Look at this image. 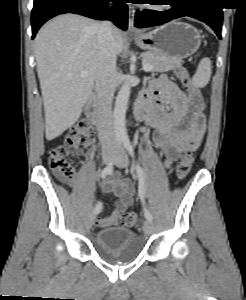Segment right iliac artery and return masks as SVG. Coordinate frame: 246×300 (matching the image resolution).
Here are the masks:
<instances>
[{
	"instance_id": "1",
	"label": "right iliac artery",
	"mask_w": 246,
	"mask_h": 300,
	"mask_svg": "<svg viewBox=\"0 0 246 300\" xmlns=\"http://www.w3.org/2000/svg\"><path fill=\"white\" fill-rule=\"evenodd\" d=\"M121 143H122V141H121V140H118V149H119V150L121 149ZM113 168H114V167H113V163H112V162L109 163V164L101 171L100 177H101L103 180L106 179V177L112 173ZM101 210H102V204H101L100 202H98V203L96 204L95 208H94V213H95V214H98V213L101 212Z\"/></svg>"
}]
</instances>
